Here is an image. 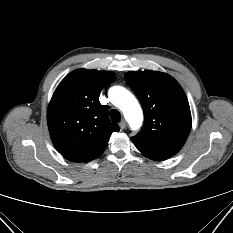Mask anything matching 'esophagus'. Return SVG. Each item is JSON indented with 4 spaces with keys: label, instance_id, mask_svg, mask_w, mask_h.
<instances>
[{
    "label": "esophagus",
    "instance_id": "34e87169",
    "mask_svg": "<svg viewBox=\"0 0 233 233\" xmlns=\"http://www.w3.org/2000/svg\"><path fill=\"white\" fill-rule=\"evenodd\" d=\"M119 127L123 130L125 129L126 127V121L125 120H122L120 123H119Z\"/></svg>",
    "mask_w": 233,
    "mask_h": 233
}]
</instances>
